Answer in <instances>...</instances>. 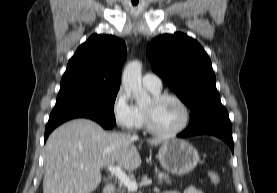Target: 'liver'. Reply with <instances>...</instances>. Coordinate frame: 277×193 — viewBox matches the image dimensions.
<instances>
[{"label":"liver","mask_w":277,"mask_h":193,"mask_svg":"<svg viewBox=\"0 0 277 193\" xmlns=\"http://www.w3.org/2000/svg\"><path fill=\"white\" fill-rule=\"evenodd\" d=\"M138 137L108 133L88 119L55 129L45 145L43 193H91L101 183V168L115 163L131 171L141 165L134 142ZM163 140L155 138L150 145Z\"/></svg>","instance_id":"1"}]
</instances>
